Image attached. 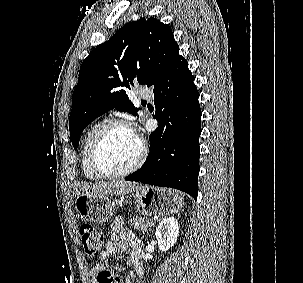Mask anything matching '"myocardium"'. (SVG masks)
Here are the masks:
<instances>
[{
	"label": "myocardium",
	"mask_w": 303,
	"mask_h": 283,
	"mask_svg": "<svg viewBox=\"0 0 303 283\" xmlns=\"http://www.w3.org/2000/svg\"><path fill=\"white\" fill-rule=\"evenodd\" d=\"M115 126L124 127V128H128L131 130V127L125 121H123L121 119L115 118V119L107 120L97 130L96 134L93 137V140L91 142L90 149H89L90 165H91L92 169L94 170V172L98 176H100L101 178H104V179L121 178V177L127 176V175L135 172L137 169H139L142 166V164L145 161L146 154H147L145 144L143 143V141L141 139H139V143H140L139 153L132 165H130L128 168H126L124 170L116 171V172L108 171L107 169H105L100 162L99 150H100L101 143H102L106 133L108 132L109 129H111L112 127H115Z\"/></svg>",
	"instance_id": "f54148a6"
}]
</instances>
